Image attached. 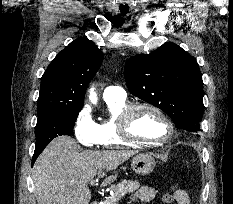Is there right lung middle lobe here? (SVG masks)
Here are the masks:
<instances>
[{
  "label": "right lung middle lobe",
  "mask_w": 233,
  "mask_h": 204,
  "mask_svg": "<svg viewBox=\"0 0 233 204\" xmlns=\"http://www.w3.org/2000/svg\"><path fill=\"white\" fill-rule=\"evenodd\" d=\"M81 109L70 112H54L38 116L36 125V146L46 145L53 138L71 135Z\"/></svg>",
  "instance_id": "right-lung-middle-lobe-1"
}]
</instances>
